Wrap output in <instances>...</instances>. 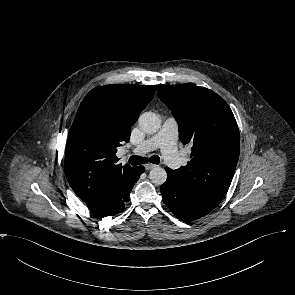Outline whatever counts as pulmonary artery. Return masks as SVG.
I'll use <instances>...</instances> for the list:
<instances>
[{
	"label": "pulmonary artery",
	"mask_w": 295,
	"mask_h": 295,
	"mask_svg": "<svg viewBox=\"0 0 295 295\" xmlns=\"http://www.w3.org/2000/svg\"><path fill=\"white\" fill-rule=\"evenodd\" d=\"M178 123L170 117L164 121L159 131L151 138L137 145L133 152L145 154L160 149L165 162L173 169L182 165V159L177 152Z\"/></svg>",
	"instance_id": "obj_1"
}]
</instances>
